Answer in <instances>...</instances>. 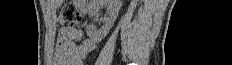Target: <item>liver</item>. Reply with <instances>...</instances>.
<instances>
[{"mask_svg": "<svg viewBox=\"0 0 232 65\" xmlns=\"http://www.w3.org/2000/svg\"><path fill=\"white\" fill-rule=\"evenodd\" d=\"M50 2L55 3V6L57 7L63 2V0H50Z\"/></svg>", "mask_w": 232, "mask_h": 65, "instance_id": "obj_1", "label": "liver"}]
</instances>
